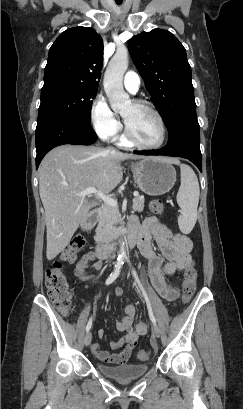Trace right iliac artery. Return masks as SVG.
Segmentation results:
<instances>
[{
  "label": "right iliac artery",
  "mask_w": 243,
  "mask_h": 409,
  "mask_svg": "<svg viewBox=\"0 0 243 409\" xmlns=\"http://www.w3.org/2000/svg\"><path fill=\"white\" fill-rule=\"evenodd\" d=\"M124 262L122 259H117V263L115 265L114 271L109 275V277L106 280V285L111 284L116 280V278L119 276L121 268L123 266ZM92 326V317L89 319L87 326H86V332H88L91 329Z\"/></svg>",
  "instance_id": "right-iliac-artery-1"
}]
</instances>
